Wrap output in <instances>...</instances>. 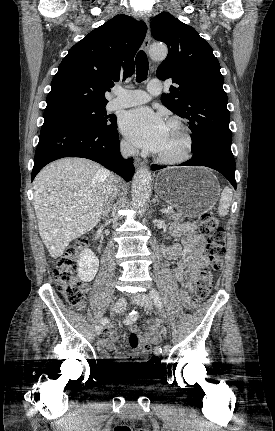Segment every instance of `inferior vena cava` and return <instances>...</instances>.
I'll use <instances>...</instances> for the list:
<instances>
[{
  "mask_svg": "<svg viewBox=\"0 0 275 431\" xmlns=\"http://www.w3.org/2000/svg\"><path fill=\"white\" fill-rule=\"evenodd\" d=\"M134 152H135V149L131 145L127 143H124L121 145V153L125 158L130 157L131 155L134 154ZM118 183H119L118 177L114 174H110L106 181L107 193H108V196H110V199H113L116 197L118 193Z\"/></svg>",
  "mask_w": 275,
  "mask_h": 431,
  "instance_id": "inferior-vena-cava-1",
  "label": "inferior vena cava"
}]
</instances>
